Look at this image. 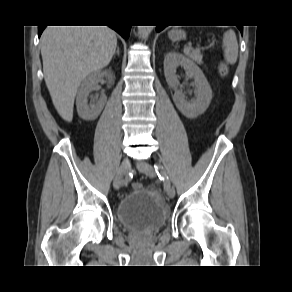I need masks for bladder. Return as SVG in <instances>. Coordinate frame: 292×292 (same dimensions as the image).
<instances>
[{
	"label": "bladder",
	"instance_id": "1",
	"mask_svg": "<svg viewBox=\"0 0 292 292\" xmlns=\"http://www.w3.org/2000/svg\"><path fill=\"white\" fill-rule=\"evenodd\" d=\"M169 210L159 192L141 188L127 193L117 205V218L126 229L153 233L163 227Z\"/></svg>",
	"mask_w": 292,
	"mask_h": 292
}]
</instances>
